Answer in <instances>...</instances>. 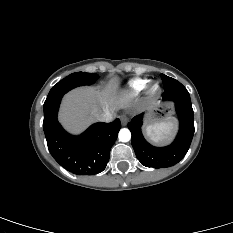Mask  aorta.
<instances>
[{
  "label": "aorta",
  "instance_id": "aorta-1",
  "mask_svg": "<svg viewBox=\"0 0 233 233\" xmlns=\"http://www.w3.org/2000/svg\"><path fill=\"white\" fill-rule=\"evenodd\" d=\"M118 138L121 142H128L131 139V132L127 128H123L119 131Z\"/></svg>",
  "mask_w": 233,
  "mask_h": 233
}]
</instances>
